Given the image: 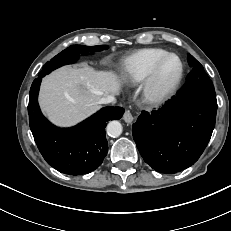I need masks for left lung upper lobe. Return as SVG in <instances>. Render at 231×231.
Segmentation results:
<instances>
[{"instance_id": "5c2ea615", "label": "left lung upper lobe", "mask_w": 231, "mask_h": 231, "mask_svg": "<svg viewBox=\"0 0 231 231\" xmlns=\"http://www.w3.org/2000/svg\"><path fill=\"white\" fill-rule=\"evenodd\" d=\"M188 63L192 70L187 77L185 85L179 92H201L216 95L214 85L204 71L202 65L192 55H188Z\"/></svg>"}]
</instances>
